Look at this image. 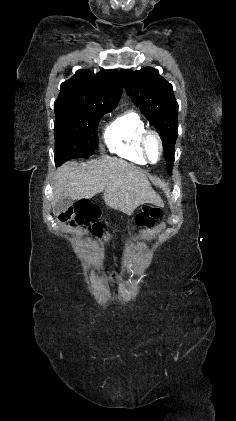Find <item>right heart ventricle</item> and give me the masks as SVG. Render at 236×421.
I'll return each mask as SVG.
<instances>
[{
  "mask_svg": "<svg viewBox=\"0 0 236 421\" xmlns=\"http://www.w3.org/2000/svg\"><path fill=\"white\" fill-rule=\"evenodd\" d=\"M146 130L144 120L135 110H127L111 121L105 129L108 150L136 164H146L139 139Z\"/></svg>",
  "mask_w": 236,
  "mask_h": 421,
  "instance_id": "1",
  "label": "right heart ventricle"
}]
</instances>
